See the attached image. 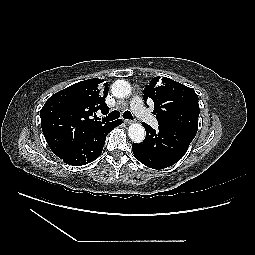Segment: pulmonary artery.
Returning <instances> with one entry per match:
<instances>
[{
  "label": "pulmonary artery",
  "instance_id": "pulmonary-artery-1",
  "mask_svg": "<svg viewBox=\"0 0 255 255\" xmlns=\"http://www.w3.org/2000/svg\"><path fill=\"white\" fill-rule=\"evenodd\" d=\"M131 111L141 120L149 123L153 128L158 127L156 118L143 106V102L140 96L135 95L130 100Z\"/></svg>",
  "mask_w": 255,
  "mask_h": 255
}]
</instances>
